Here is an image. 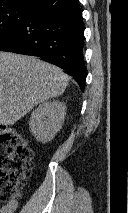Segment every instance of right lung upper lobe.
Wrapping results in <instances>:
<instances>
[{
    "label": "right lung upper lobe",
    "mask_w": 128,
    "mask_h": 213,
    "mask_svg": "<svg viewBox=\"0 0 128 213\" xmlns=\"http://www.w3.org/2000/svg\"><path fill=\"white\" fill-rule=\"evenodd\" d=\"M40 0H0V7L13 5L21 7H34Z\"/></svg>",
    "instance_id": "obj_1"
}]
</instances>
